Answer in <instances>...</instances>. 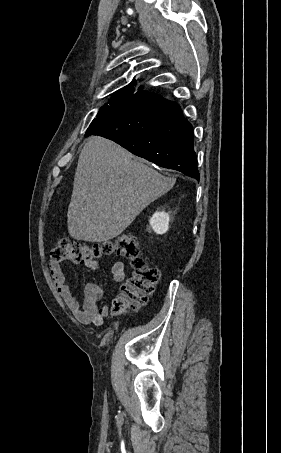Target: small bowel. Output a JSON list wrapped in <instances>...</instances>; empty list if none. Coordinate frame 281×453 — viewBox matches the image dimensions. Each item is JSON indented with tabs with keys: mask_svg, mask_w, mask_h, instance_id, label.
<instances>
[{
	"mask_svg": "<svg viewBox=\"0 0 281 453\" xmlns=\"http://www.w3.org/2000/svg\"><path fill=\"white\" fill-rule=\"evenodd\" d=\"M86 266L90 270H97L99 265L97 260L87 259ZM50 271L58 291L68 306L73 309L77 319L85 325H102L104 318L108 315L109 311L115 307L116 303L112 300L101 308L104 297L103 287L94 282L86 283L84 286V299L83 302L80 303L71 287L66 282L64 272L58 259H52L50 261ZM113 276L116 282L124 281L125 264L122 261H117L114 264Z\"/></svg>",
	"mask_w": 281,
	"mask_h": 453,
	"instance_id": "small-bowel-1",
	"label": "small bowel"
}]
</instances>
